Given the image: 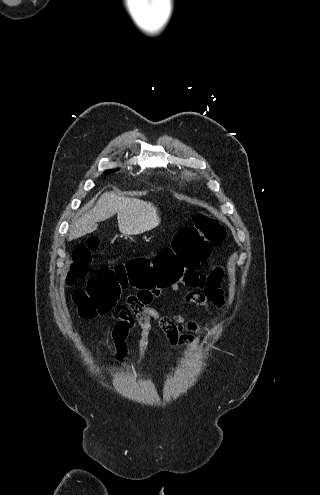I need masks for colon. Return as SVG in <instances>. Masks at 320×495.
<instances>
[{
  "mask_svg": "<svg viewBox=\"0 0 320 495\" xmlns=\"http://www.w3.org/2000/svg\"><path fill=\"white\" fill-rule=\"evenodd\" d=\"M194 225L179 229L171 246L162 249L153 259L144 256L126 262H111L101 266L87 285L73 293V301L82 317L117 311L124 307L118 301L128 286L138 288V302L149 300L145 291L159 293L181 279L186 272L194 271L210 256L214 247L222 244L226 232L214 217L199 211L193 216ZM99 247V239L90 237L73 251L67 283L73 285L83 279L91 265L92 252Z\"/></svg>",
  "mask_w": 320,
  "mask_h": 495,
  "instance_id": "5ec220e1",
  "label": "colon"
}]
</instances>
